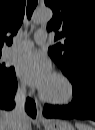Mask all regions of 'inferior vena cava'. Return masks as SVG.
I'll list each match as a JSON object with an SVG mask.
<instances>
[{
    "label": "inferior vena cava",
    "instance_id": "602c4592",
    "mask_svg": "<svg viewBox=\"0 0 95 130\" xmlns=\"http://www.w3.org/2000/svg\"><path fill=\"white\" fill-rule=\"evenodd\" d=\"M15 107L10 112L13 119V130H22L21 125L23 119L27 116L25 112V102H26V88L21 86L17 89L14 98Z\"/></svg>",
    "mask_w": 95,
    "mask_h": 130
}]
</instances>
